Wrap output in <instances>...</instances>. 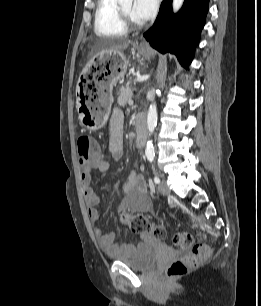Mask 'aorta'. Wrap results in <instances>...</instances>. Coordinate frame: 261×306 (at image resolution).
Returning <instances> with one entry per match:
<instances>
[{
    "label": "aorta",
    "instance_id": "762f6f07",
    "mask_svg": "<svg viewBox=\"0 0 261 306\" xmlns=\"http://www.w3.org/2000/svg\"><path fill=\"white\" fill-rule=\"evenodd\" d=\"M120 3H132V0H118ZM184 0H173L172 8L174 12H177L183 5ZM157 125V108L156 104L152 103L148 110L147 115V128L149 131V136L152 135L155 127ZM145 154L147 157L154 155V146L152 141L149 140L147 142Z\"/></svg>",
    "mask_w": 261,
    "mask_h": 306
}]
</instances>
